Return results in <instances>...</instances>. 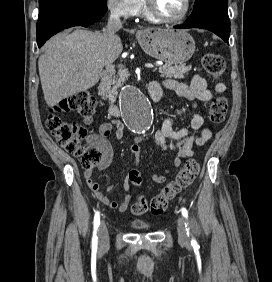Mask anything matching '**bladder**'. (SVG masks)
<instances>
[{
  "instance_id": "obj_1",
  "label": "bladder",
  "mask_w": 272,
  "mask_h": 282,
  "mask_svg": "<svg viewBox=\"0 0 272 282\" xmlns=\"http://www.w3.org/2000/svg\"><path fill=\"white\" fill-rule=\"evenodd\" d=\"M131 225L139 230L148 229L150 227L145 221L142 220H133Z\"/></svg>"
}]
</instances>
